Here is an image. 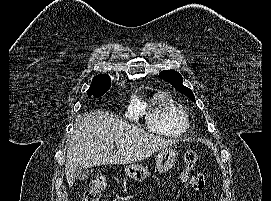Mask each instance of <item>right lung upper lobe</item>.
<instances>
[{"label":"right lung upper lobe","mask_w":271,"mask_h":201,"mask_svg":"<svg viewBox=\"0 0 271 201\" xmlns=\"http://www.w3.org/2000/svg\"><path fill=\"white\" fill-rule=\"evenodd\" d=\"M103 77H109L108 75L106 74H101V75H97L95 76L94 78H103Z\"/></svg>","instance_id":"cb5924a9"}]
</instances>
